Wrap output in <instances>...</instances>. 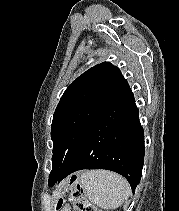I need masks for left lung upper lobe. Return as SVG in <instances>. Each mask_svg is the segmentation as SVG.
Listing matches in <instances>:
<instances>
[{
	"label": "left lung upper lobe",
	"instance_id": "5c2ea615",
	"mask_svg": "<svg viewBox=\"0 0 179 211\" xmlns=\"http://www.w3.org/2000/svg\"><path fill=\"white\" fill-rule=\"evenodd\" d=\"M126 84L118 67L103 62L84 72L68 86L53 116V156L49 178L66 170L100 115Z\"/></svg>",
	"mask_w": 179,
	"mask_h": 211
}]
</instances>
